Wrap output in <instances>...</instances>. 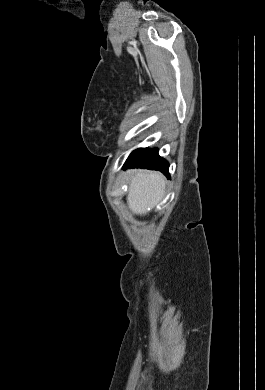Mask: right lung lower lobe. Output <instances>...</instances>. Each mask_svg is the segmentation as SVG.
Segmentation results:
<instances>
[{"instance_id":"obj_1","label":"right lung lower lobe","mask_w":265,"mask_h":390,"mask_svg":"<svg viewBox=\"0 0 265 390\" xmlns=\"http://www.w3.org/2000/svg\"><path fill=\"white\" fill-rule=\"evenodd\" d=\"M123 168L159 170L169 178V163L158 155L157 149L140 148L133 151L126 160Z\"/></svg>"}]
</instances>
